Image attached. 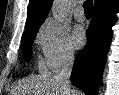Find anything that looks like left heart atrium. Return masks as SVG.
Returning a JSON list of instances; mask_svg holds the SVG:
<instances>
[{
    "label": "left heart atrium",
    "instance_id": "obj_1",
    "mask_svg": "<svg viewBox=\"0 0 119 95\" xmlns=\"http://www.w3.org/2000/svg\"><path fill=\"white\" fill-rule=\"evenodd\" d=\"M86 41L85 31L81 26H76L72 32V43L76 48H81Z\"/></svg>",
    "mask_w": 119,
    "mask_h": 95
}]
</instances>
